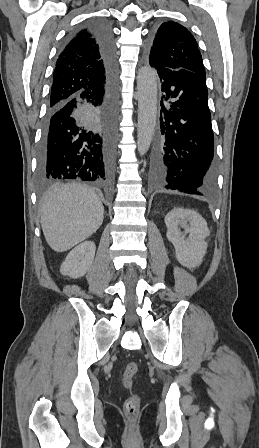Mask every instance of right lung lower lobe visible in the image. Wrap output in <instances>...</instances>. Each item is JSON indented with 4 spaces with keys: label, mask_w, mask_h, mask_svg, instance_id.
Wrapping results in <instances>:
<instances>
[{
    "label": "right lung lower lobe",
    "mask_w": 259,
    "mask_h": 448,
    "mask_svg": "<svg viewBox=\"0 0 259 448\" xmlns=\"http://www.w3.org/2000/svg\"><path fill=\"white\" fill-rule=\"evenodd\" d=\"M84 29L97 41L106 83L96 91L48 105L37 153L40 183L53 179L104 181L111 175L116 133L115 41L110 25L95 21L71 32L65 45Z\"/></svg>",
    "instance_id": "right-lung-lower-lobe-1"
}]
</instances>
